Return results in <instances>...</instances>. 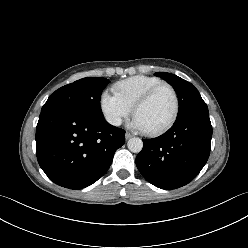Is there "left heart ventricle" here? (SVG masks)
<instances>
[{
	"label": "left heart ventricle",
	"instance_id": "1",
	"mask_svg": "<svg viewBox=\"0 0 248 248\" xmlns=\"http://www.w3.org/2000/svg\"><path fill=\"white\" fill-rule=\"evenodd\" d=\"M174 110L172 92L164 87L136 112L135 118L144 130H153L165 124Z\"/></svg>",
	"mask_w": 248,
	"mask_h": 248
}]
</instances>
